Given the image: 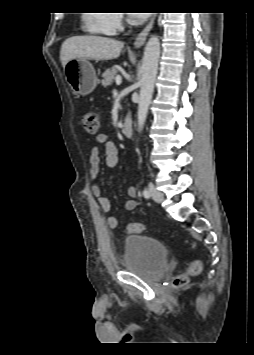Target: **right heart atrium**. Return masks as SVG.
Returning a JSON list of instances; mask_svg holds the SVG:
<instances>
[{
	"label": "right heart atrium",
	"mask_w": 254,
	"mask_h": 355,
	"mask_svg": "<svg viewBox=\"0 0 254 355\" xmlns=\"http://www.w3.org/2000/svg\"><path fill=\"white\" fill-rule=\"evenodd\" d=\"M104 23L113 34L123 29L124 27V17L119 11L107 12L104 17Z\"/></svg>",
	"instance_id": "right-heart-atrium-1"
}]
</instances>
